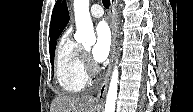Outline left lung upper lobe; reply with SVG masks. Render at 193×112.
I'll return each instance as SVG.
<instances>
[{"label": "left lung upper lobe", "instance_id": "5c2ea615", "mask_svg": "<svg viewBox=\"0 0 193 112\" xmlns=\"http://www.w3.org/2000/svg\"><path fill=\"white\" fill-rule=\"evenodd\" d=\"M60 3H61V0H57L56 4L54 6L53 13H52V18H51V28H52V24H53V21H54V18H55L57 8L59 7Z\"/></svg>", "mask_w": 193, "mask_h": 112}]
</instances>
